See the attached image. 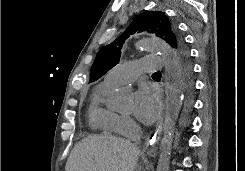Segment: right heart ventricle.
Returning <instances> with one entry per match:
<instances>
[{"instance_id":"right-heart-ventricle-1","label":"right heart ventricle","mask_w":245,"mask_h":171,"mask_svg":"<svg viewBox=\"0 0 245 171\" xmlns=\"http://www.w3.org/2000/svg\"><path fill=\"white\" fill-rule=\"evenodd\" d=\"M113 87L104 81L95 87L88 108V120L92 129L116 134L115 122L118 115L104 105V98Z\"/></svg>"}]
</instances>
